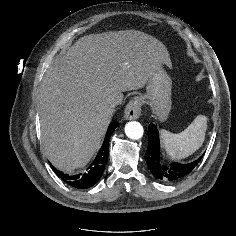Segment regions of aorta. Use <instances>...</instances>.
Masks as SVG:
<instances>
[{
    "instance_id": "aorta-1",
    "label": "aorta",
    "mask_w": 236,
    "mask_h": 236,
    "mask_svg": "<svg viewBox=\"0 0 236 236\" xmlns=\"http://www.w3.org/2000/svg\"><path fill=\"white\" fill-rule=\"evenodd\" d=\"M144 133L142 125L137 121L128 122L125 125V134L132 140H139Z\"/></svg>"
}]
</instances>
